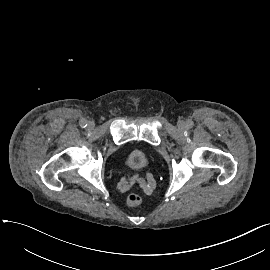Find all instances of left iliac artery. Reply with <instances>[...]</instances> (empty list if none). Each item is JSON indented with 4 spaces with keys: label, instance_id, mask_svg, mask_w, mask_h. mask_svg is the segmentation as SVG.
Listing matches in <instances>:
<instances>
[{
    "label": "left iliac artery",
    "instance_id": "44dca946",
    "mask_svg": "<svg viewBox=\"0 0 270 270\" xmlns=\"http://www.w3.org/2000/svg\"><path fill=\"white\" fill-rule=\"evenodd\" d=\"M193 125H194V124H193V122H192V121H188V122H187V127H188V128H192V127H193Z\"/></svg>",
    "mask_w": 270,
    "mask_h": 270
}]
</instances>
